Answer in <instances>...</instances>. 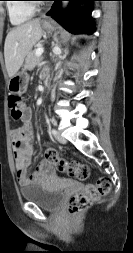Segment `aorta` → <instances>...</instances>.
<instances>
[{
  "mask_svg": "<svg viewBox=\"0 0 133 253\" xmlns=\"http://www.w3.org/2000/svg\"><path fill=\"white\" fill-rule=\"evenodd\" d=\"M67 4H68V2H66V1L62 2V6H63V7H66Z\"/></svg>",
  "mask_w": 133,
  "mask_h": 253,
  "instance_id": "aorta-1",
  "label": "aorta"
}]
</instances>
